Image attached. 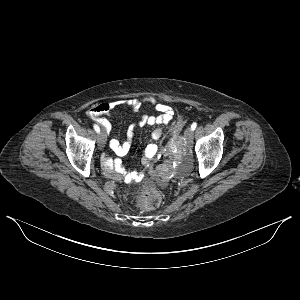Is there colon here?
<instances>
[{
  "label": "colon",
  "instance_id": "colon-1",
  "mask_svg": "<svg viewBox=\"0 0 300 300\" xmlns=\"http://www.w3.org/2000/svg\"><path fill=\"white\" fill-rule=\"evenodd\" d=\"M181 126V122L177 121L172 131L175 133ZM173 149V145L169 147V150ZM156 180H149L148 184H141L139 188L135 189L134 195L139 207L145 210H151L157 208L161 204V195L158 192Z\"/></svg>",
  "mask_w": 300,
  "mask_h": 300
}]
</instances>
